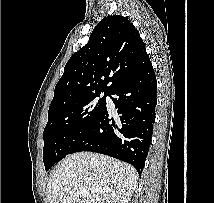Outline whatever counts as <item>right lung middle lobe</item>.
Segmentation results:
<instances>
[{"instance_id":"1","label":"right lung middle lobe","mask_w":214,"mask_h":203,"mask_svg":"<svg viewBox=\"0 0 214 203\" xmlns=\"http://www.w3.org/2000/svg\"><path fill=\"white\" fill-rule=\"evenodd\" d=\"M100 93L68 102L48 112L44 129L43 161L48 171L55 163L70 154L94 125L106 105L105 95Z\"/></svg>"}]
</instances>
